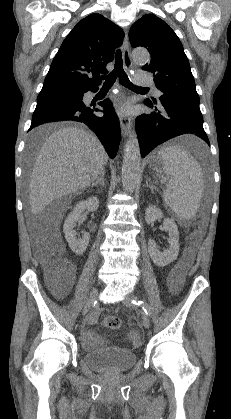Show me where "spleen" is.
I'll list each match as a JSON object with an SVG mask.
<instances>
[{
    "label": "spleen",
    "instance_id": "1",
    "mask_svg": "<svg viewBox=\"0 0 231 419\" xmlns=\"http://www.w3.org/2000/svg\"><path fill=\"white\" fill-rule=\"evenodd\" d=\"M167 178L163 192L165 204L180 219H191L199 209L203 193V174L197 160L178 146H163L157 150Z\"/></svg>",
    "mask_w": 231,
    "mask_h": 419
}]
</instances>
